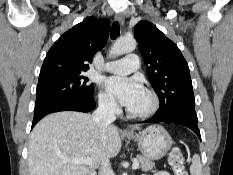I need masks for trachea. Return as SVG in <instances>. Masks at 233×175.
<instances>
[{
    "mask_svg": "<svg viewBox=\"0 0 233 175\" xmlns=\"http://www.w3.org/2000/svg\"><path fill=\"white\" fill-rule=\"evenodd\" d=\"M119 34H120V25L118 21H115L111 27L110 37L112 40H114L119 36Z\"/></svg>",
    "mask_w": 233,
    "mask_h": 175,
    "instance_id": "1",
    "label": "trachea"
}]
</instances>
